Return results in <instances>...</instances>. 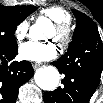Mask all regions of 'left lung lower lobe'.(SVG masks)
Masks as SVG:
<instances>
[{
    "instance_id": "0a47b994",
    "label": "left lung lower lobe",
    "mask_w": 103,
    "mask_h": 103,
    "mask_svg": "<svg viewBox=\"0 0 103 103\" xmlns=\"http://www.w3.org/2000/svg\"><path fill=\"white\" fill-rule=\"evenodd\" d=\"M52 65L65 77L64 86L44 93L45 103H88L103 71V42L90 31Z\"/></svg>"
}]
</instances>
